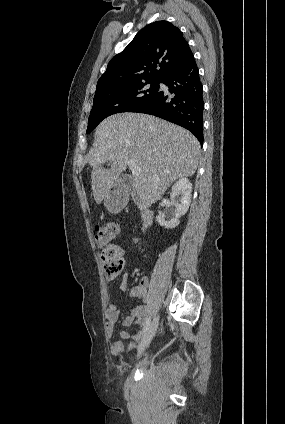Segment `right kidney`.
Segmentation results:
<instances>
[{
  "instance_id": "obj_1",
  "label": "right kidney",
  "mask_w": 285,
  "mask_h": 424,
  "mask_svg": "<svg viewBox=\"0 0 285 424\" xmlns=\"http://www.w3.org/2000/svg\"><path fill=\"white\" fill-rule=\"evenodd\" d=\"M191 192L192 184L186 177L179 179L172 186L171 198L173 199L177 194L181 195L179 202H173L175 206V218H172L170 221H166L163 215H158L156 217V221L160 226L165 227L166 229H172L179 225V218L185 215L189 209L191 203Z\"/></svg>"
}]
</instances>
